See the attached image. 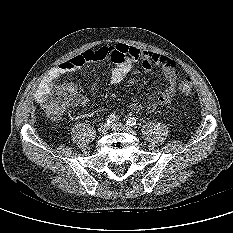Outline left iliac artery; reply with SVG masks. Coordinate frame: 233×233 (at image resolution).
I'll return each mask as SVG.
<instances>
[{"label":"left iliac artery","mask_w":233,"mask_h":233,"mask_svg":"<svg viewBox=\"0 0 233 233\" xmlns=\"http://www.w3.org/2000/svg\"><path fill=\"white\" fill-rule=\"evenodd\" d=\"M126 124L128 126H135L136 125V119L134 117H130L127 119Z\"/></svg>","instance_id":"left-iliac-artery-1"}]
</instances>
